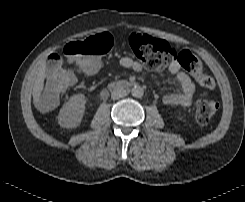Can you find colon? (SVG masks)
Listing matches in <instances>:
<instances>
[{
	"instance_id": "1",
	"label": "colon",
	"mask_w": 245,
	"mask_h": 202,
	"mask_svg": "<svg viewBox=\"0 0 245 202\" xmlns=\"http://www.w3.org/2000/svg\"><path fill=\"white\" fill-rule=\"evenodd\" d=\"M113 42L114 39L110 34L102 33L91 36L83 42L66 43L62 47V54L54 53L50 57L43 99L55 103L71 88L73 75L66 64L87 71L86 56L106 53ZM128 45L135 59L149 70L161 72L168 64L178 61L182 69L191 72L203 88L210 91L215 88L213 78L203 73L201 60L187 50H178L165 40L137 33L129 35ZM218 109L219 105L213 99L200 98L196 104L197 121L201 124L208 123Z\"/></svg>"
}]
</instances>
